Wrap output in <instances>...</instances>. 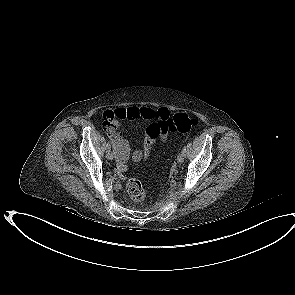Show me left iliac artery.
Instances as JSON below:
<instances>
[{
	"label": "left iliac artery",
	"mask_w": 295,
	"mask_h": 295,
	"mask_svg": "<svg viewBox=\"0 0 295 295\" xmlns=\"http://www.w3.org/2000/svg\"><path fill=\"white\" fill-rule=\"evenodd\" d=\"M186 147H183V149H182V153L185 155L186 154Z\"/></svg>",
	"instance_id": "obj_1"
}]
</instances>
